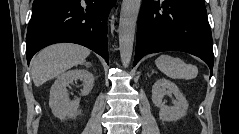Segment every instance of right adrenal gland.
Instances as JSON below:
<instances>
[{
    "instance_id": "1",
    "label": "right adrenal gland",
    "mask_w": 239,
    "mask_h": 134,
    "mask_svg": "<svg viewBox=\"0 0 239 134\" xmlns=\"http://www.w3.org/2000/svg\"><path fill=\"white\" fill-rule=\"evenodd\" d=\"M85 65H86L87 67H89V66H90V64H88V63H87V64H85Z\"/></svg>"
}]
</instances>
